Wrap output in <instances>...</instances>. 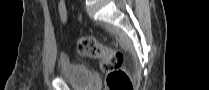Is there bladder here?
<instances>
[{"mask_svg":"<svg viewBox=\"0 0 209 90\" xmlns=\"http://www.w3.org/2000/svg\"><path fill=\"white\" fill-rule=\"evenodd\" d=\"M58 65L59 78L68 82L70 85L79 89H87L96 86L94 84L92 70L85 64L72 61L62 55L58 60Z\"/></svg>","mask_w":209,"mask_h":90,"instance_id":"31cf9c89","label":"bladder"}]
</instances>
